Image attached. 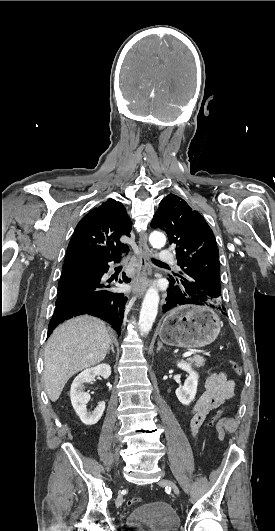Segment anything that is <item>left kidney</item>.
<instances>
[{"instance_id": "5707ae66", "label": "left kidney", "mask_w": 275, "mask_h": 531, "mask_svg": "<svg viewBox=\"0 0 275 531\" xmlns=\"http://www.w3.org/2000/svg\"><path fill=\"white\" fill-rule=\"evenodd\" d=\"M177 367H179V369H182V371H186V373H189V377H187L183 387H179V389H176V397L178 401L182 403V405H189V403H191V401L195 399L199 375L198 373H196V371H193L189 363H184V361H180V363H177Z\"/></svg>"}]
</instances>
